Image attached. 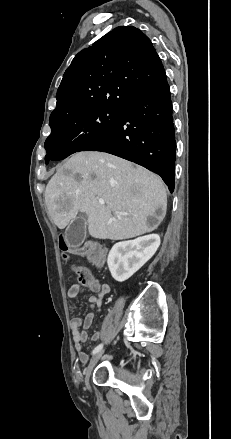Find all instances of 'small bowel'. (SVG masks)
Returning <instances> with one entry per match:
<instances>
[{"instance_id":"c3829d8e","label":"small bowel","mask_w":231,"mask_h":439,"mask_svg":"<svg viewBox=\"0 0 231 439\" xmlns=\"http://www.w3.org/2000/svg\"><path fill=\"white\" fill-rule=\"evenodd\" d=\"M84 286L93 292V295L89 297L88 303L90 307L96 311L101 310L102 301L105 295L110 292V286L102 283L98 278L91 275V279L86 284L75 283L67 291V300L72 301L75 299L81 287ZM95 318V313L91 312L86 315L85 318L75 317L70 321V328L72 331L74 347L78 358L81 362L85 363L88 360V355L83 349V345L88 341V331L90 330ZM101 337V332H95L91 339L96 341Z\"/></svg>"}]
</instances>
